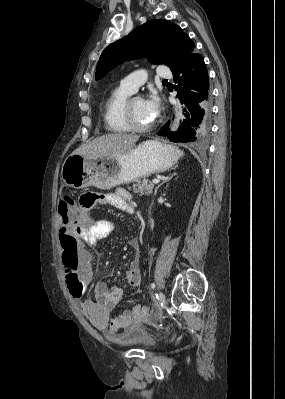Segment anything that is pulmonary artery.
I'll use <instances>...</instances> for the list:
<instances>
[{"instance_id": "e3ab8cb5", "label": "pulmonary artery", "mask_w": 285, "mask_h": 399, "mask_svg": "<svg viewBox=\"0 0 285 399\" xmlns=\"http://www.w3.org/2000/svg\"><path fill=\"white\" fill-rule=\"evenodd\" d=\"M157 76L159 78H171L172 74L170 70L164 66V65H159L157 69ZM147 75L143 72H134L131 73L127 76H125L121 81H120V86L123 88L127 89L131 93H134L137 91L139 86L144 83L146 80Z\"/></svg>"}]
</instances>
